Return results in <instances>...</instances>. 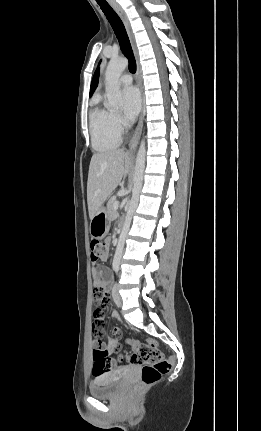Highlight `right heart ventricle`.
<instances>
[{
	"label": "right heart ventricle",
	"instance_id": "obj_1",
	"mask_svg": "<svg viewBox=\"0 0 261 431\" xmlns=\"http://www.w3.org/2000/svg\"><path fill=\"white\" fill-rule=\"evenodd\" d=\"M91 143L94 150L106 153L115 150L121 143V133L112 122V113L94 101L89 116Z\"/></svg>",
	"mask_w": 261,
	"mask_h": 431
}]
</instances>
